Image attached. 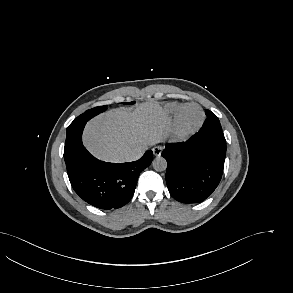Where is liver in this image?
<instances>
[{
	"label": "liver",
	"instance_id": "obj_1",
	"mask_svg": "<svg viewBox=\"0 0 293 293\" xmlns=\"http://www.w3.org/2000/svg\"><path fill=\"white\" fill-rule=\"evenodd\" d=\"M171 129L170 118L154 102L134 110L111 109L90 120L84 130L86 148L99 159L126 162V154L162 142Z\"/></svg>",
	"mask_w": 293,
	"mask_h": 293
}]
</instances>
